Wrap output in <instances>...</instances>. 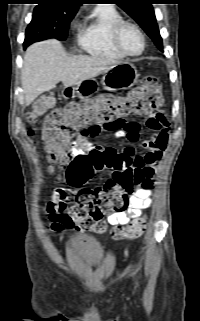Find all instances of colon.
<instances>
[{
  "mask_svg": "<svg viewBox=\"0 0 200 321\" xmlns=\"http://www.w3.org/2000/svg\"><path fill=\"white\" fill-rule=\"evenodd\" d=\"M55 103L53 95L41 97L26 114V120L35 122ZM162 104L159 80L146 77L136 89L120 98L104 95L55 109L46 115L43 140L49 171L53 173L55 167L65 168V180L75 195V202L65 218L76 228L94 233L106 232L103 217L126 208L128 195L140 185L141 177L128 158L115 152L93 150L72 156L70 138L75 135L97 136L104 130L117 127L130 114L150 113ZM33 133L28 131L29 136ZM106 169L112 170V176L102 187H82L96 172ZM145 227L146 219L140 217L110 233L117 239H135L142 235Z\"/></svg>",
  "mask_w": 200,
  "mask_h": 321,
  "instance_id": "5ec220e1",
  "label": "colon"
}]
</instances>
